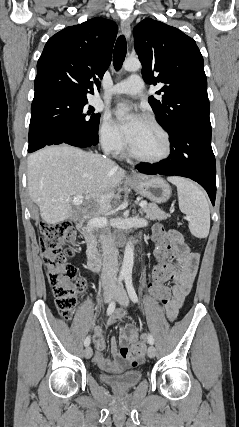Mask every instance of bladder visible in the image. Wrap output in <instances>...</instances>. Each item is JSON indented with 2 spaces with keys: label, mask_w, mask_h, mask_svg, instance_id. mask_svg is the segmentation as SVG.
Instances as JSON below:
<instances>
[{
  "label": "bladder",
  "mask_w": 239,
  "mask_h": 427,
  "mask_svg": "<svg viewBox=\"0 0 239 427\" xmlns=\"http://www.w3.org/2000/svg\"><path fill=\"white\" fill-rule=\"evenodd\" d=\"M100 379L112 388L127 390L141 381L142 372L140 370H126L113 375L101 374Z\"/></svg>",
  "instance_id": "obj_1"
}]
</instances>
